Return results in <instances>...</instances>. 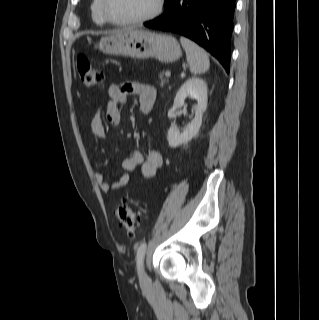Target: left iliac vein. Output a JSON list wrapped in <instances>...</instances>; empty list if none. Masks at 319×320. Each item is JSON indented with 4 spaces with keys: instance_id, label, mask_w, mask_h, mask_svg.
I'll use <instances>...</instances> for the list:
<instances>
[{
    "instance_id": "obj_1",
    "label": "left iliac vein",
    "mask_w": 319,
    "mask_h": 320,
    "mask_svg": "<svg viewBox=\"0 0 319 320\" xmlns=\"http://www.w3.org/2000/svg\"><path fill=\"white\" fill-rule=\"evenodd\" d=\"M149 279L148 276L146 275L145 271H144V267H141L140 270V283L142 285H146L148 283Z\"/></svg>"
}]
</instances>
